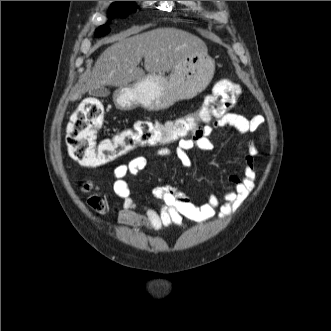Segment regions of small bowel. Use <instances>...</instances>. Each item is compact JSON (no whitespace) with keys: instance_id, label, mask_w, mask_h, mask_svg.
<instances>
[{"instance_id":"c3829d8e","label":"small bowel","mask_w":331,"mask_h":331,"mask_svg":"<svg viewBox=\"0 0 331 331\" xmlns=\"http://www.w3.org/2000/svg\"><path fill=\"white\" fill-rule=\"evenodd\" d=\"M263 123L262 115L246 118L237 113H227L207 126L198 128L190 136L178 140L173 147L159 149L156 156H174L182 165L189 166L191 163L189 150L198 149L209 152L214 149L210 135L215 130L224 132L227 129H235L240 133H253ZM257 153V147L250 142L244 159L243 175L229 176L231 188L223 192L222 198L210 194L207 202L196 205L184 193L172 186L164 185L154 190L159 209L139 207L132 198L126 181L128 175H138L148 166V158L138 156L127 163L117 165L113 170V191L122 200L120 223L134 228L160 230L171 225L183 226L184 218L195 222H205L215 216L220 219L225 218L241 207L255 186L256 173L253 158Z\"/></svg>"}]
</instances>
